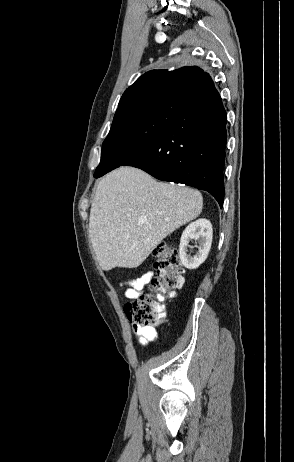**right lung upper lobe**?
Here are the masks:
<instances>
[{
    "instance_id": "obj_1",
    "label": "right lung upper lobe",
    "mask_w": 294,
    "mask_h": 462,
    "mask_svg": "<svg viewBox=\"0 0 294 462\" xmlns=\"http://www.w3.org/2000/svg\"><path fill=\"white\" fill-rule=\"evenodd\" d=\"M213 81L209 74L197 66L182 67L173 71L151 70L138 78L122 95L116 112L135 103L170 93L195 95L205 92Z\"/></svg>"
}]
</instances>
